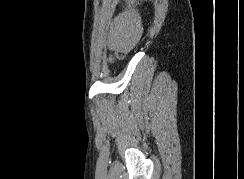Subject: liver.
Returning <instances> with one entry per match:
<instances>
[{
    "instance_id": "1",
    "label": "liver",
    "mask_w": 244,
    "mask_h": 179,
    "mask_svg": "<svg viewBox=\"0 0 244 179\" xmlns=\"http://www.w3.org/2000/svg\"><path fill=\"white\" fill-rule=\"evenodd\" d=\"M127 6L121 14L114 18V24L109 34V46L117 52H130L138 44L143 26L141 16L136 10V0H125Z\"/></svg>"
}]
</instances>
